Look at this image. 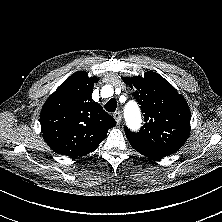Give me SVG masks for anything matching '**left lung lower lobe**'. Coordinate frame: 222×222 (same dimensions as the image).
I'll return each instance as SVG.
<instances>
[{
  "label": "left lung lower lobe",
  "mask_w": 222,
  "mask_h": 222,
  "mask_svg": "<svg viewBox=\"0 0 222 222\" xmlns=\"http://www.w3.org/2000/svg\"><path fill=\"white\" fill-rule=\"evenodd\" d=\"M131 146L142 155L149 158L160 159L162 157L171 155L179 150L178 147L170 146H148L140 143L130 142Z\"/></svg>",
  "instance_id": "obj_1"
}]
</instances>
